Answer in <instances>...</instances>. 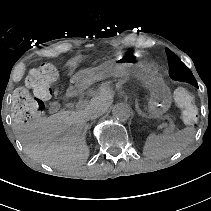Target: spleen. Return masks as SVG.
Here are the masks:
<instances>
[{"label": "spleen", "instance_id": "1", "mask_svg": "<svg viewBox=\"0 0 211 211\" xmlns=\"http://www.w3.org/2000/svg\"><path fill=\"white\" fill-rule=\"evenodd\" d=\"M195 129L186 127L172 134H150L145 142L143 154L151 159L160 160L170 157L194 139Z\"/></svg>", "mask_w": 211, "mask_h": 211}]
</instances>
